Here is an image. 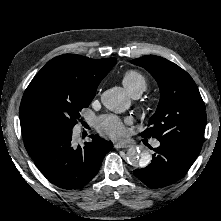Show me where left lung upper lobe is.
Instances as JSON below:
<instances>
[{"label": "left lung upper lobe", "mask_w": 221, "mask_h": 221, "mask_svg": "<svg viewBox=\"0 0 221 221\" xmlns=\"http://www.w3.org/2000/svg\"><path fill=\"white\" fill-rule=\"evenodd\" d=\"M131 63L145 68L155 78L161 92L158 108L142 135L152 136L160 143L176 145L198 156L207 115L191 76L159 56L147 55L131 60Z\"/></svg>", "instance_id": "left-lung-upper-lobe-1"}]
</instances>
